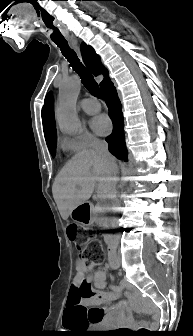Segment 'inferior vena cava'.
<instances>
[{"mask_svg":"<svg viewBox=\"0 0 193 336\" xmlns=\"http://www.w3.org/2000/svg\"><path fill=\"white\" fill-rule=\"evenodd\" d=\"M93 149L99 155L102 156V162L104 165H108V170H112V176L108 180V185L110 188V192L108 194V198L111 200V203L114 207L119 205V200L117 197V189H116V182H117V175L119 173V162H113L111 155L108 151V144L107 142L101 140H95L93 143Z\"/></svg>","mask_w":193,"mask_h":336,"instance_id":"602c4592","label":"inferior vena cava"}]
</instances>
